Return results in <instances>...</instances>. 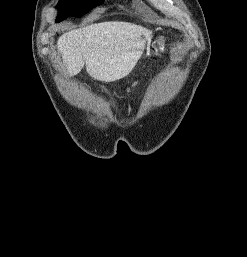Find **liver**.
I'll return each mask as SVG.
<instances>
[{"label": "liver", "mask_w": 247, "mask_h": 257, "mask_svg": "<svg viewBox=\"0 0 247 257\" xmlns=\"http://www.w3.org/2000/svg\"><path fill=\"white\" fill-rule=\"evenodd\" d=\"M151 31L132 23L102 22L63 34L57 41L69 76L86 65L95 80L113 82L135 67Z\"/></svg>", "instance_id": "6515ba94"}]
</instances>
